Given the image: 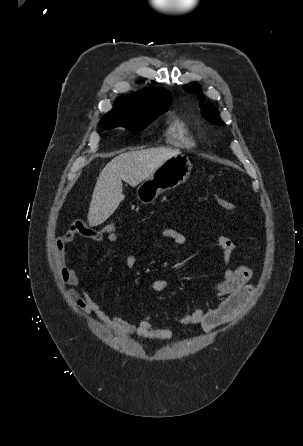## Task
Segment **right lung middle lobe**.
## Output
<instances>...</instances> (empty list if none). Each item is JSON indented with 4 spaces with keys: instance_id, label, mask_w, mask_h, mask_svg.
I'll return each instance as SVG.
<instances>
[{
    "instance_id": "obj_1",
    "label": "right lung middle lobe",
    "mask_w": 303,
    "mask_h": 446,
    "mask_svg": "<svg viewBox=\"0 0 303 446\" xmlns=\"http://www.w3.org/2000/svg\"><path fill=\"white\" fill-rule=\"evenodd\" d=\"M168 106H160L143 114H126L117 112H108L101 120L103 126L107 129L115 127H124L132 132H139L152 123L159 114L166 112Z\"/></svg>"
}]
</instances>
